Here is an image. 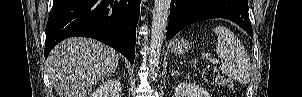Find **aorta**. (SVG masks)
<instances>
[{"label":"aorta","instance_id":"1","mask_svg":"<svg viewBox=\"0 0 302 97\" xmlns=\"http://www.w3.org/2000/svg\"><path fill=\"white\" fill-rule=\"evenodd\" d=\"M170 3L171 0H155L149 48V67L152 75H156L159 69L160 53L170 14Z\"/></svg>","mask_w":302,"mask_h":97}]
</instances>
